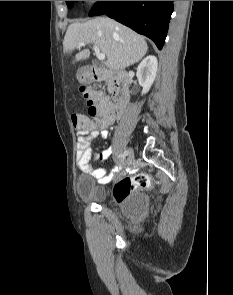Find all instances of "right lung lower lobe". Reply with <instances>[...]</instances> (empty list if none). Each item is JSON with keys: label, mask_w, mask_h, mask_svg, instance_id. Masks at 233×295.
I'll list each match as a JSON object with an SVG mask.
<instances>
[{"label": "right lung lower lobe", "mask_w": 233, "mask_h": 295, "mask_svg": "<svg viewBox=\"0 0 233 295\" xmlns=\"http://www.w3.org/2000/svg\"><path fill=\"white\" fill-rule=\"evenodd\" d=\"M172 11L173 1H98L89 16L107 14L162 49Z\"/></svg>", "instance_id": "right-lung-lower-lobe-1"}]
</instances>
